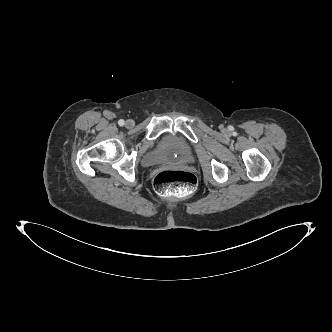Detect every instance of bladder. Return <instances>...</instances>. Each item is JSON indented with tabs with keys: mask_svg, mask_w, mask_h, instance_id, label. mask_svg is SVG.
<instances>
[{
	"mask_svg": "<svg viewBox=\"0 0 332 332\" xmlns=\"http://www.w3.org/2000/svg\"><path fill=\"white\" fill-rule=\"evenodd\" d=\"M194 154L191 145L183 138L167 136L156 151L143 156V166L188 163L193 160Z\"/></svg>",
	"mask_w": 332,
	"mask_h": 332,
	"instance_id": "31cf9c89",
	"label": "bladder"
}]
</instances>
